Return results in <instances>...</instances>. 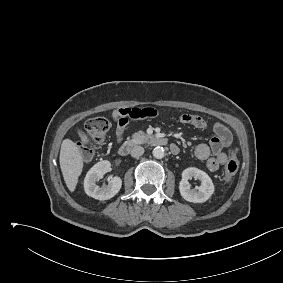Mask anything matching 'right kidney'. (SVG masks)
<instances>
[{"label": "right kidney", "mask_w": 283, "mask_h": 283, "mask_svg": "<svg viewBox=\"0 0 283 283\" xmlns=\"http://www.w3.org/2000/svg\"><path fill=\"white\" fill-rule=\"evenodd\" d=\"M109 161H101L95 164L86 174L84 179V190L88 196L98 200H108L114 197L122 186L120 177L111 178L108 185L99 187L97 180L110 170Z\"/></svg>", "instance_id": "ca27d5eb"}]
</instances>
